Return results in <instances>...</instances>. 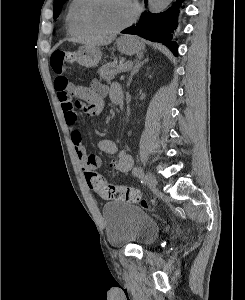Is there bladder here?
<instances>
[{
  "label": "bladder",
  "mask_w": 245,
  "mask_h": 300,
  "mask_svg": "<svg viewBox=\"0 0 245 300\" xmlns=\"http://www.w3.org/2000/svg\"><path fill=\"white\" fill-rule=\"evenodd\" d=\"M103 222L111 246H149L159 233L157 222L134 204L114 201L103 207Z\"/></svg>",
  "instance_id": "1"
}]
</instances>
